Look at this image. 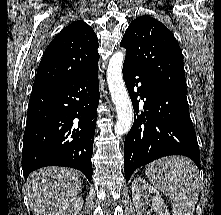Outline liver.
Listing matches in <instances>:
<instances>
[{
  "mask_svg": "<svg viewBox=\"0 0 221 215\" xmlns=\"http://www.w3.org/2000/svg\"><path fill=\"white\" fill-rule=\"evenodd\" d=\"M81 173L63 167H44L32 172L26 194L34 215H55L81 191Z\"/></svg>",
  "mask_w": 221,
  "mask_h": 215,
  "instance_id": "obj_1",
  "label": "liver"
}]
</instances>
